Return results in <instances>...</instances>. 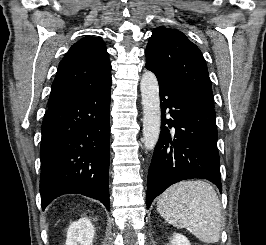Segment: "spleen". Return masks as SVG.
I'll list each match as a JSON object with an SVG mask.
<instances>
[{"instance_id": "1", "label": "spleen", "mask_w": 266, "mask_h": 245, "mask_svg": "<svg viewBox=\"0 0 266 245\" xmlns=\"http://www.w3.org/2000/svg\"><path fill=\"white\" fill-rule=\"evenodd\" d=\"M161 217L183 227L202 243H218L221 231V205L217 193L205 181H182L169 187L157 201Z\"/></svg>"}]
</instances>
